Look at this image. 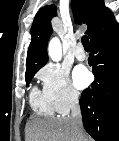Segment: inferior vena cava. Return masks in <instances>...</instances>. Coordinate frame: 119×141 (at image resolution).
Returning a JSON list of instances; mask_svg holds the SVG:
<instances>
[{"label":"inferior vena cava","mask_w":119,"mask_h":141,"mask_svg":"<svg viewBox=\"0 0 119 141\" xmlns=\"http://www.w3.org/2000/svg\"><path fill=\"white\" fill-rule=\"evenodd\" d=\"M69 103L71 107V116L69 118L74 125L78 137L82 138L83 124L77 92H71ZM79 140L82 141V139Z\"/></svg>","instance_id":"602c4592"}]
</instances>
